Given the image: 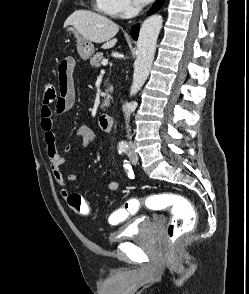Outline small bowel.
I'll use <instances>...</instances> for the list:
<instances>
[{
  "instance_id": "small-bowel-1",
  "label": "small bowel",
  "mask_w": 249,
  "mask_h": 294,
  "mask_svg": "<svg viewBox=\"0 0 249 294\" xmlns=\"http://www.w3.org/2000/svg\"><path fill=\"white\" fill-rule=\"evenodd\" d=\"M71 59V69L68 73L63 75L58 70V81L60 88V97L54 104H43L40 109L39 123L40 128L45 137L47 158L50 162L51 174L55 182L60 186V192L63 197H67V184L77 181L78 176L75 173H69L66 177L64 175V165L66 157L62 154L57 146V136L55 133V118L69 111L75 101V88L72 78V71L74 67V60ZM72 136L78 137L82 140V147L87 148L97 142V136L93 130L87 125H78L72 132ZM75 149L72 144H66L63 151L68 153ZM119 183L116 181H109L107 189L115 192L119 190ZM120 210L114 212L109 222L112 225L120 223L123 219L119 216Z\"/></svg>"
}]
</instances>
